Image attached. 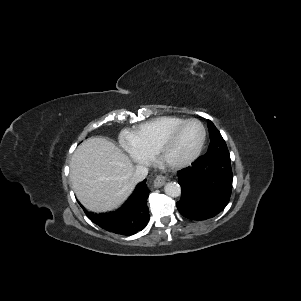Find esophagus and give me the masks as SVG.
<instances>
[{
	"label": "esophagus",
	"mask_w": 301,
	"mask_h": 301,
	"mask_svg": "<svg viewBox=\"0 0 301 301\" xmlns=\"http://www.w3.org/2000/svg\"><path fill=\"white\" fill-rule=\"evenodd\" d=\"M167 180H168V176L166 174L158 175L154 179L153 184L156 188H159V187H162L166 183Z\"/></svg>",
	"instance_id": "34e87169"
}]
</instances>
